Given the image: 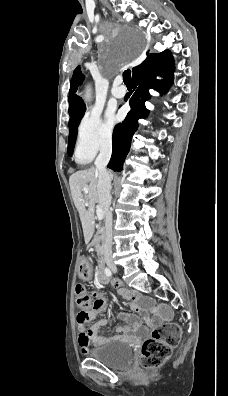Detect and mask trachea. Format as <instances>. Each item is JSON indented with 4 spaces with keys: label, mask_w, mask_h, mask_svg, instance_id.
I'll return each instance as SVG.
<instances>
[{
    "label": "trachea",
    "mask_w": 228,
    "mask_h": 396,
    "mask_svg": "<svg viewBox=\"0 0 228 396\" xmlns=\"http://www.w3.org/2000/svg\"><path fill=\"white\" fill-rule=\"evenodd\" d=\"M123 81L126 85L132 84L131 71L129 69L123 72Z\"/></svg>",
    "instance_id": "trachea-1"
}]
</instances>
